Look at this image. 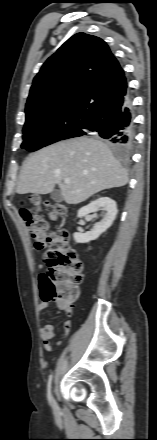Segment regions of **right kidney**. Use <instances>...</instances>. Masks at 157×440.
Returning a JSON list of instances; mask_svg holds the SVG:
<instances>
[{
	"mask_svg": "<svg viewBox=\"0 0 157 440\" xmlns=\"http://www.w3.org/2000/svg\"><path fill=\"white\" fill-rule=\"evenodd\" d=\"M100 209H105L107 212L104 218L100 222L95 223L91 231L87 233H74L73 237L76 243H88L96 240L112 225L117 215V205L116 202L109 197H100L82 207L78 211L77 217H86L88 214L97 212Z\"/></svg>",
	"mask_w": 157,
	"mask_h": 440,
	"instance_id": "right-kidney-1",
	"label": "right kidney"
}]
</instances>
